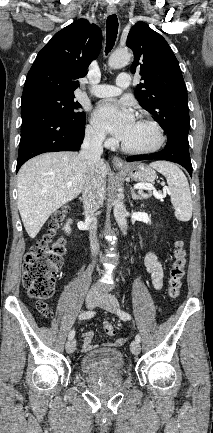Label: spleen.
Listing matches in <instances>:
<instances>
[{
  "label": "spleen",
  "mask_w": 213,
  "mask_h": 433,
  "mask_svg": "<svg viewBox=\"0 0 213 433\" xmlns=\"http://www.w3.org/2000/svg\"><path fill=\"white\" fill-rule=\"evenodd\" d=\"M150 166L166 178L176 218L182 222L189 221L193 205L189 184L182 170L166 161H156Z\"/></svg>",
  "instance_id": "3e777b00"
}]
</instances>
